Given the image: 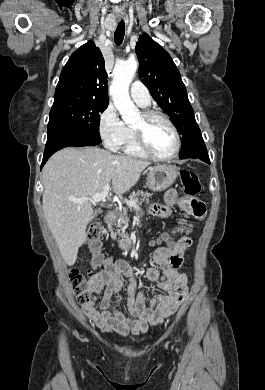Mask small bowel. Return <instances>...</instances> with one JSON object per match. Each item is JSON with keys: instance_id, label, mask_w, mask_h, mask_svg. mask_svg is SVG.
I'll return each mask as SVG.
<instances>
[{"instance_id": "obj_1", "label": "small bowel", "mask_w": 265, "mask_h": 390, "mask_svg": "<svg viewBox=\"0 0 265 390\" xmlns=\"http://www.w3.org/2000/svg\"><path fill=\"white\" fill-rule=\"evenodd\" d=\"M173 207H179L186 214L203 219L206 213L204 203L196 197L179 196L175 189L165 194V204L151 207V213L159 217H168ZM179 236L173 240L168 233L152 244L164 243L155 249L150 265L146 268L150 284L139 287L133 267L122 258H102L92 283L94 297L82 310L85 315L102 331L115 332L120 336L129 333H143L150 325L162 323L181 305L187 294V274L180 272L185 251L192 241L183 235V228H175ZM159 266L161 269H158ZM123 278L128 279L127 307L129 316L115 307V296L123 286ZM158 290L161 294L148 300L146 291ZM102 295L100 301L98 296Z\"/></svg>"}]
</instances>
